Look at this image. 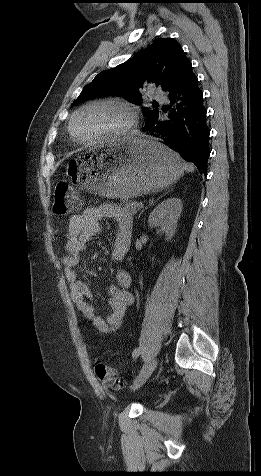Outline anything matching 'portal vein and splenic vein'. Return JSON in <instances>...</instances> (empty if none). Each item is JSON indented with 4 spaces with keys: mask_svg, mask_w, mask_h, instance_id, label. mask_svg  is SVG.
<instances>
[{
    "mask_svg": "<svg viewBox=\"0 0 261 476\" xmlns=\"http://www.w3.org/2000/svg\"><path fill=\"white\" fill-rule=\"evenodd\" d=\"M139 206H141V207H142V206H143V202H139Z\"/></svg>",
    "mask_w": 261,
    "mask_h": 476,
    "instance_id": "portal-vein-and-splenic-vein-1",
    "label": "portal vein and splenic vein"
}]
</instances>
